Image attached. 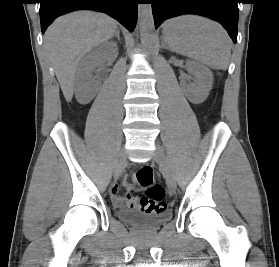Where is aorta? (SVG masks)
<instances>
[{
  "instance_id": "obj_1",
  "label": "aorta",
  "mask_w": 279,
  "mask_h": 267,
  "mask_svg": "<svg viewBox=\"0 0 279 267\" xmlns=\"http://www.w3.org/2000/svg\"><path fill=\"white\" fill-rule=\"evenodd\" d=\"M138 21L141 42L145 46H151L154 40V19L151 3H139Z\"/></svg>"
}]
</instances>
